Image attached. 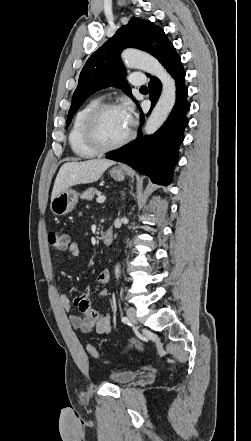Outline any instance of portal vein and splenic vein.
<instances>
[{"instance_id": "portal-vein-and-splenic-vein-1", "label": "portal vein and splenic vein", "mask_w": 251, "mask_h": 441, "mask_svg": "<svg viewBox=\"0 0 251 441\" xmlns=\"http://www.w3.org/2000/svg\"><path fill=\"white\" fill-rule=\"evenodd\" d=\"M105 200H106V197H105V196H101V195H99V196L97 197V199H96V201H97L98 203H103Z\"/></svg>"}]
</instances>
